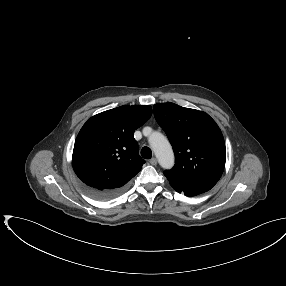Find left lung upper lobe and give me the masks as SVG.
<instances>
[{
	"label": "left lung upper lobe",
	"instance_id": "left-lung-upper-lobe-1",
	"mask_svg": "<svg viewBox=\"0 0 286 286\" xmlns=\"http://www.w3.org/2000/svg\"><path fill=\"white\" fill-rule=\"evenodd\" d=\"M154 116L175 154V165L164 171L171 186L204 193L220 179L226 159L222 132L205 112L174 103L154 105Z\"/></svg>",
	"mask_w": 286,
	"mask_h": 286
}]
</instances>
